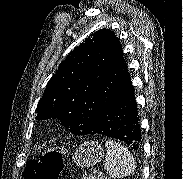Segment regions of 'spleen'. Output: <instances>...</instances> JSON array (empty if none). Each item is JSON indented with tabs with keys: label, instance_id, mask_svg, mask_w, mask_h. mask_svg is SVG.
I'll return each instance as SVG.
<instances>
[{
	"label": "spleen",
	"instance_id": "1",
	"mask_svg": "<svg viewBox=\"0 0 183 179\" xmlns=\"http://www.w3.org/2000/svg\"><path fill=\"white\" fill-rule=\"evenodd\" d=\"M104 168L112 179L123 178L135 170V159L123 145L107 140Z\"/></svg>",
	"mask_w": 183,
	"mask_h": 179
}]
</instances>
